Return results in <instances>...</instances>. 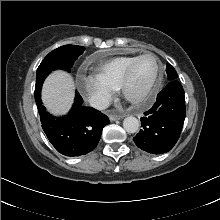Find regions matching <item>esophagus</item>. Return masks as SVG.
Segmentation results:
<instances>
[{"mask_svg":"<svg viewBox=\"0 0 220 220\" xmlns=\"http://www.w3.org/2000/svg\"><path fill=\"white\" fill-rule=\"evenodd\" d=\"M121 118H123V116H121V115H112V114L109 115V119L111 121L119 120Z\"/></svg>","mask_w":220,"mask_h":220,"instance_id":"esophagus-1","label":"esophagus"}]
</instances>
